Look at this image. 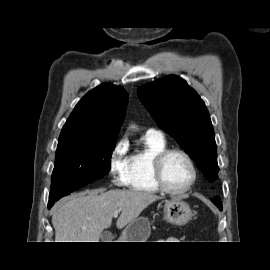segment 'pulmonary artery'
Segmentation results:
<instances>
[{
    "mask_svg": "<svg viewBox=\"0 0 270 270\" xmlns=\"http://www.w3.org/2000/svg\"><path fill=\"white\" fill-rule=\"evenodd\" d=\"M146 135H149V136H156V137H160V138H163V132L160 131V130H157V129H149L147 132H146Z\"/></svg>",
    "mask_w": 270,
    "mask_h": 270,
    "instance_id": "e3ab8cb5",
    "label": "pulmonary artery"
}]
</instances>
